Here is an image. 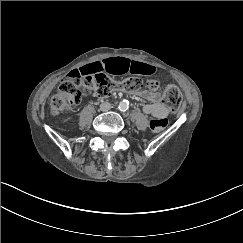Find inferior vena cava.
I'll return each mask as SVG.
<instances>
[{"mask_svg": "<svg viewBox=\"0 0 243 243\" xmlns=\"http://www.w3.org/2000/svg\"><path fill=\"white\" fill-rule=\"evenodd\" d=\"M111 108V103L110 102H104L100 106L101 111H108Z\"/></svg>", "mask_w": 243, "mask_h": 243, "instance_id": "obj_1", "label": "inferior vena cava"}]
</instances>
